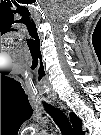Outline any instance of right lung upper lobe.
<instances>
[{
    "mask_svg": "<svg viewBox=\"0 0 101 135\" xmlns=\"http://www.w3.org/2000/svg\"><path fill=\"white\" fill-rule=\"evenodd\" d=\"M70 119L73 125V128L75 132L79 135H84V132L82 131V121L80 118H78L74 113L70 114Z\"/></svg>",
    "mask_w": 101,
    "mask_h": 135,
    "instance_id": "right-lung-upper-lobe-1",
    "label": "right lung upper lobe"
}]
</instances>
